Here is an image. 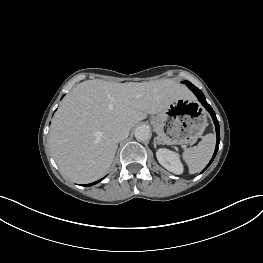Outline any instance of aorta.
Here are the masks:
<instances>
[{
    "label": "aorta",
    "instance_id": "762f6f07",
    "mask_svg": "<svg viewBox=\"0 0 263 263\" xmlns=\"http://www.w3.org/2000/svg\"><path fill=\"white\" fill-rule=\"evenodd\" d=\"M134 136L138 141H146L151 136V131L148 126H138L134 131Z\"/></svg>",
    "mask_w": 263,
    "mask_h": 263
}]
</instances>
